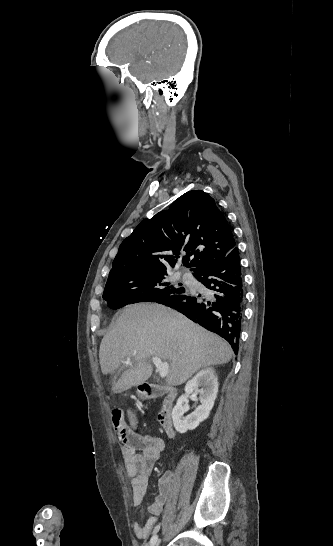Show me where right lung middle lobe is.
I'll use <instances>...</instances> for the list:
<instances>
[{
	"mask_svg": "<svg viewBox=\"0 0 333 546\" xmlns=\"http://www.w3.org/2000/svg\"><path fill=\"white\" fill-rule=\"evenodd\" d=\"M166 279V271L114 269L110 271L103 299L108 307L118 309L130 303L156 302L160 298L185 294L181 284H171Z\"/></svg>",
	"mask_w": 333,
	"mask_h": 546,
	"instance_id": "right-lung-middle-lobe-1",
	"label": "right lung middle lobe"
}]
</instances>
